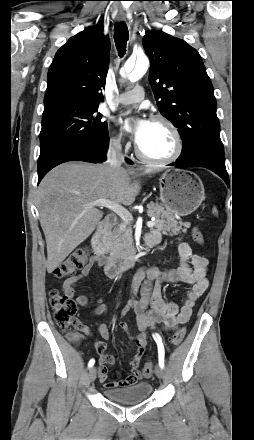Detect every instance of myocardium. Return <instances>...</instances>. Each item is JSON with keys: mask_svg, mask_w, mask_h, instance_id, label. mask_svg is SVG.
Instances as JSON below:
<instances>
[{"mask_svg": "<svg viewBox=\"0 0 254 440\" xmlns=\"http://www.w3.org/2000/svg\"><path fill=\"white\" fill-rule=\"evenodd\" d=\"M151 121L157 123H163L171 130L175 138V143H176L175 150L173 154L170 155L169 157L159 159L145 155L137 145L135 147V153L137 157L144 162L150 164H156V165H166L175 162L181 156L184 149V141L181 132L179 131L178 127L165 116H161V115L154 116L152 117Z\"/></svg>", "mask_w": 254, "mask_h": 440, "instance_id": "myocardium-1", "label": "myocardium"}]
</instances>
